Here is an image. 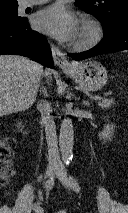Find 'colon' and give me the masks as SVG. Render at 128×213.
<instances>
[{
  "instance_id": "colon-1",
  "label": "colon",
  "mask_w": 128,
  "mask_h": 213,
  "mask_svg": "<svg viewBox=\"0 0 128 213\" xmlns=\"http://www.w3.org/2000/svg\"><path fill=\"white\" fill-rule=\"evenodd\" d=\"M15 142L10 137L0 140V183L7 182L13 175L12 148ZM56 213H67L66 210H59Z\"/></svg>"
}]
</instances>
